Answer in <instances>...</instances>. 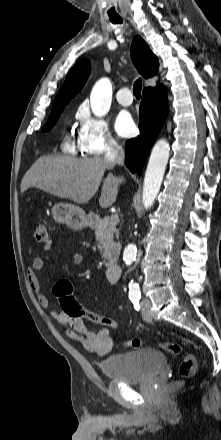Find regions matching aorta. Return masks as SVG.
I'll return each instance as SVG.
<instances>
[{"instance_id": "aorta-1", "label": "aorta", "mask_w": 221, "mask_h": 440, "mask_svg": "<svg viewBox=\"0 0 221 440\" xmlns=\"http://www.w3.org/2000/svg\"><path fill=\"white\" fill-rule=\"evenodd\" d=\"M112 84L108 78H102L94 85L90 104L92 112L97 117L105 116L111 106ZM170 147L165 139H160L153 147L145 173L142 202L145 209L151 207L158 195L169 158ZM137 248L129 244L124 250V261L131 265L136 258ZM130 292L139 290L138 284L129 283Z\"/></svg>"}]
</instances>
